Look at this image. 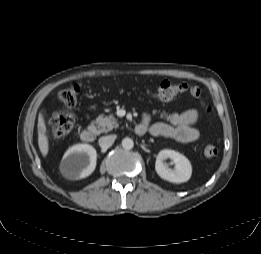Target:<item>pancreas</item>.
Returning <instances> with one entry per match:
<instances>
[{
  "label": "pancreas",
  "mask_w": 261,
  "mask_h": 254,
  "mask_svg": "<svg viewBox=\"0 0 261 254\" xmlns=\"http://www.w3.org/2000/svg\"><path fill=\"white\" fill-rule=\"evenodd\" d=\"M91 127L93 128L96 134H101L103 132H108L113 128L118 127V123L113 115H100L96 118L94 122L91 123Z\"/></svg>",
  "instance_id": "1"
}]
</instances>
